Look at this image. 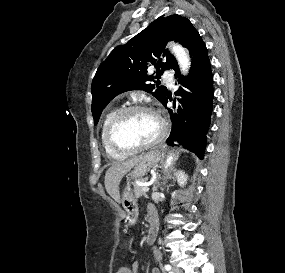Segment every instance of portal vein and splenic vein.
<instances>
[{"mask_svg": "<svg viewBox=\"0 0 285 273\" xmlns=\"http://www.w3.org/2000/svg\"><path fill=\"white\" fill-rule=\"evenodd\" d=\"M142 190H143L144 192H148V191H149L148 185H145V186L142 188Z\"/></svg>", "mask_w": 285, "mask_h": 273, "instance_id": "portal-vein-and-splenic-vein-1", "label": "portal vein and splenic vein"}]
</instances>
